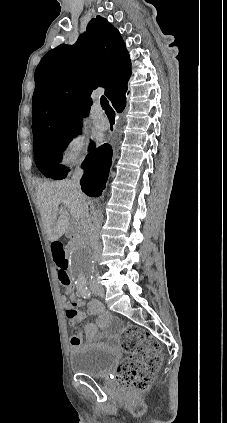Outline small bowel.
Listing matches in <instances>:
<instances>
[{"label": "small bowel", "mask_w": 227, "mask_h": 423, "mask_svg": "<svg viewBox=\"0 0 227 423\" xmlns=\"http://www.w3.org/2000/svg\"><path fill=\"white\" fill-rule=\"evenodd\" d=\"M62 301L65 303V315L71 326L78 325L87 317V314L96 316L95 321H88L84 326V334L89 341L99 338L98 329H106L110 324L118 323L98 301H91L85 311V303L77 299L76 289L72 284L66 287ZM81 344L82 334L78 331L70 337V346L75 351Z\"/></svg>", "instance_id": "c3829d8e"}]
</instances>
